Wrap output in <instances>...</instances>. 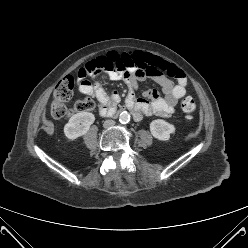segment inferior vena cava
I'll list each match as a JSON object with an SVG mask.
<instances>
[{
  "label": "inferior vena cava",
  "mask_w": 248,
  "mask_h": 248,
  "mask_svg": "<svg viewBox=\"0 0 248 248\" xmlns=\"http://www.w3.org/2000/svg\"><path fill=\"white\" fill-rule=\"evenodd\" d=\"M115 124L114 120H106L103 124L104 128L112 127Z\"/></svg>",
  "instance_id": "obj_1"
}]
</instances>
